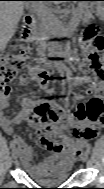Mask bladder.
<instances>
[{"instance_id": "31cf9c89", "label": "bladder", "mask_w": 104, "mask_h": 189, "mask_svg": "<svg viewBox=\"0 0 104 189\" xmlns=\"http://www.w3.org/2000/svg\"><path fill=\"white\" fill-rule=\"evenodd\" d=\"M69 168H61V167H52L46 170L43 175H33L30 174L31 178L45 185H54L64 183L69 177Z\"/></svg>"}]
</instances>
